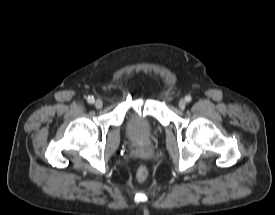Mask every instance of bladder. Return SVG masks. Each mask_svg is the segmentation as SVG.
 <instances>
[{"label":"bladder","instance_id":"31cf9c89","mask_svg":"<svg viewBox=\"0 0 275 215\" xmlns=\"http://www.w3.org/2000/svg\"><path fill=\"white\" fill-rule=\"evenodd\" d=\"M125 130L131 139L144 141L153 135L155 127L147 115L134 112L128 116L125 123Z\"/></svg>","mask_w":275,"mask_h":215}]
</instances>
